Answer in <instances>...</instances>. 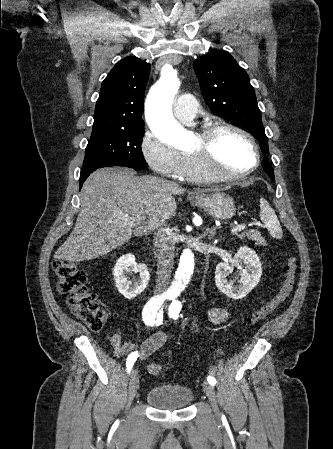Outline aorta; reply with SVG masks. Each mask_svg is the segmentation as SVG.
<instances>
[{
	"instance_id": "1",
	"label": "aorta",
	"mask_w": 333,
	"mask_h": 449,
	"mask_svg": "<svg viewBox=\"0 0 333 449\" xmlns=\"http://www.w3.org/2000/svg\"><path fill=\"white\" fill-rule=\"evenodd\" d=\"M177 73L171 65H166L159 81L151 88L147 100L145 116L154 135L178 149L190 146L189 134L172 115V103L179 89ZM194 269V254L188 247L181 250L178 269L172 284L175 295L180 294L190 281Z\"/></svg>"
}]
</instances>
